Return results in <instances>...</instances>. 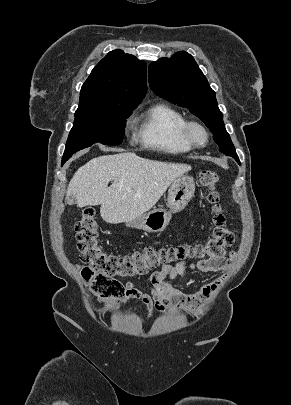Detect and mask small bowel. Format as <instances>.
Wrapping results in <instances>:
<instances>
[{"mask_svg": "<svg viewBox=\"0 0 291 405\" xmlns=\"http://www.w3.org/2000/svg\"><path fill=\"white\" fill-rule=\"evenodd\" d=\"M234 254L221 258H209L195 264L187 265L185 261H179L174 265H163L159 271L152 273L147 282L150 285V292L146 293L136 287L135 281H128L125 285L123 301L129 299L140 300L147 310V320L153 318L156 313L175 314L185 311L189 316L199 312L201 306L208 300L222 282ZM200 272H221L222 275L204 284L194 294H184L172 285L174 278L186 276L189 271ZM141 317V322L146 320Z\"/></svg>", "mask_w": 291, "mask_h": 405, "instance_id": "1", "label": "small bowel"}]
</instances>
